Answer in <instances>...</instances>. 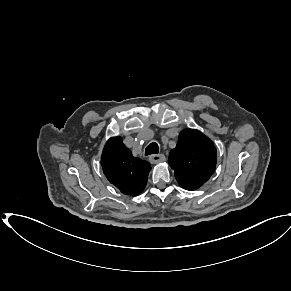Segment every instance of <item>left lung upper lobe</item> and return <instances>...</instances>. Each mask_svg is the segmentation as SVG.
<instances>
[{"instance_id": "left-lung-upper-lobe-1", "label": "left lung upper lobe", "mask_w": 291, "mask_h": 291, "mask_svg": "<svg viewBox=\"0 0 291 291\" xmlns=\"http://www.w3.org/2000/svg\"><path fill=\"white\" fill-rule=\"evenodd\" d=\"M216 161L212 140L199 130L189 128L180 132L168 158L177 182L186 190L201 187L215 171Z\"/></svg>"}]
</instances>
